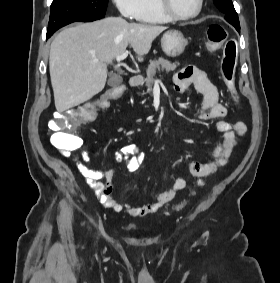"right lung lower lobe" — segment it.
Wrapping results in <instances>:
<instances>
[{"label": "right lung lower lobe", "instance_id": "1", "mask_svg": "<svg viewBox=\"0 0 280 283\" xmlns=\"http://www.w3.org/2000/svg\"><path fill=\"white\" fill-rule=\"evenodd\" d=\"M67 24H70V23H63V24H60V25H56L52 28H49L48 32H47V38L51 37L54 32H56L58 29H60L61 27L65 26Z\"/></svg>", "mask_w": 280, "mask_h": 283}]
</instances>
